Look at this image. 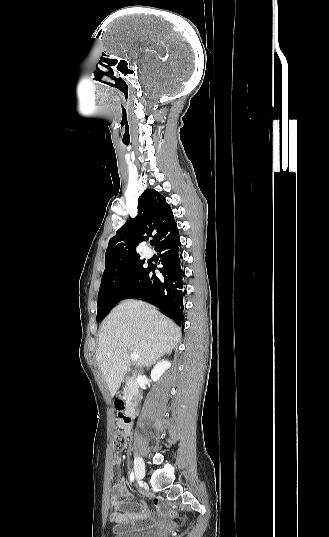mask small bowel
Returning a JSON list of instances; mask_svg holds the SVG:
<instances>
[{"label":"small bowel","instance_id":"obj_1","mask_svg":"<svg viewBox=\"0 0 329 537\" xmlns=\"http://www.w3.org/2000/svg\"><path fill=\"white\" fill-rule=\"evenodd\" d=\"M117 425L129 435L131 433V425L129 423L117 422ZM120 457L114 458L115 464H120ZM130 496L129 490L123 480L118 479L112 489L110 504L115 509L110 514V520L116 524L115 531L117 533L141 531L153 527L158 521H161L164 516L162 504L158 499L154 498L152 503L154 510L141 499H130L125 497ZM123 511V512H119Z\"/></svg>","mask_w":329,"mask_h":537}]
</instances>
